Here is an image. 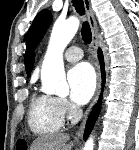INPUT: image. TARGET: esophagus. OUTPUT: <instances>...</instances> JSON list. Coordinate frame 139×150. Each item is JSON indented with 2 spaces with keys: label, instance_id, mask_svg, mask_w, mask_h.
Here are the masks:
<instances>
[{
  "label": "esophagus",
  "instance_id": "34e87169",
  "mask_svg": "<svg viewBox=\"0 0 139 150\" xmlns=\"http://www.w3.org/2000/svg\"><path fill=\"white\" fill-rule=\"evenodd\" d=\"M84 3V7H85V11L87 14V18H88V22L91 28V32H92V46H93V50L94 53L96 55L97 53V49H98V30H97V24H96V20H95V15L93 12V9L91 7V2L90 0H83ZM101 91V74H100V69L98 67V87H97V91L96 94L92 100V103L88 109V112L92 109V107L96 104L99 94ZM85 128V120L81 123V125L79 126V129L76 132V138L80 137L84 131Z\"/></svg>",
  "mask_w": 139,
  "mask_h": 150
}]
</instances>
